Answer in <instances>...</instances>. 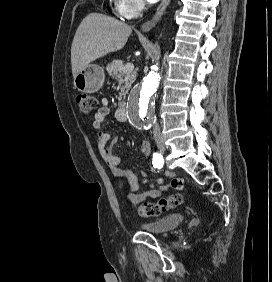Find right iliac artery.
I'll return each mask as SVG.
<instances>
[{
    "label": "right iliac artery",
    "mask_w": 272,
    "mask_h": 282,
    "mask_svg": "<svg viewBox=\"0 0 272 282\" xmlns=\"http://www.w3.org/2000/svg\"><path fill=\"white\" fill-rule=\"evenodd\" d=\"M152 164L155 168L161 169L164 164L163 156L161 154L154 153Z\"/></svg>",
    "instance_id": "82829eb1"
}]
</instances>
